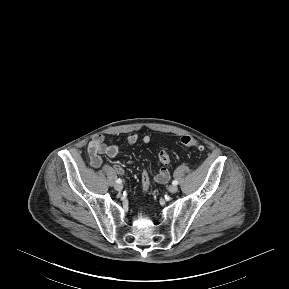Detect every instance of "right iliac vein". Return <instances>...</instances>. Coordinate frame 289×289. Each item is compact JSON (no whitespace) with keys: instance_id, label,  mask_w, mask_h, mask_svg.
<instances>
[{"instance_id":"1","label":"right iliac vein","mask_w":289,"mask_h":289,"mask_svg":"<svg viewBox=\"0 0 289 289\" xmlns=\"http://www.w3.org/2000/svg\"><path fill=\"white\" fill-rule=\"evenodd\" d=\"M114 188H115L116 191L120 192V191H122L123 186H122V184L117 183V184H115Z\"/></svg>"}]
</instances>
